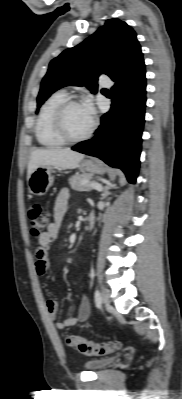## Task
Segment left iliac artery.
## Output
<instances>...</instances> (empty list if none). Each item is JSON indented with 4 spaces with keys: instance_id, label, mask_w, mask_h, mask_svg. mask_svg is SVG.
I'll return each mask as SVG.
<instances>
[{
    "instance_id": "44dca946",
    "label": "left iliac artery",
    "mask_w": 182,
    "mask_h": 399,
    "mask_svg": "<svg viewBox=\"0 0 182 399\" xmlns=\"http://www.w3.org/2000/svg\"><path fill=\"white\" fill-rule=\"evenodd\" d=\"M94 300L97 308H101L102 305V298H101V293L98 289L95 290L94 293Z\"/></svg>"
}]
</instances>
